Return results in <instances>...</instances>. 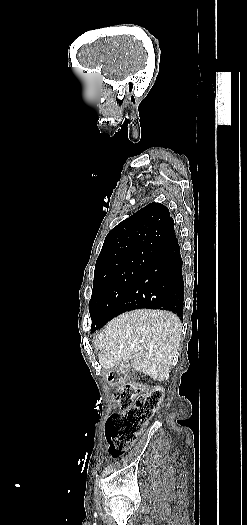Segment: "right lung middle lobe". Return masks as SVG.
<instances>
[{
  "instance_id": "obj_1",
  "label": "right lung middle lobe",
  "mask_w": 247,
  "mask_h": 525,
  "mask_svg": "<svg viewBox=\"0 0 247 525\" xmlns=\"http://www.w3.org/2000/svg\"><path fill=\"white\" fill-rule=\"evenodd\" d=\"M150 261V256L133 265L111 271L95 272L89 312L92 326H103L117 315L116 310Z\"/></svg>"
}]
</instances>
